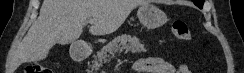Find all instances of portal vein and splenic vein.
I'll return each mask as SVG.
<instances>
[{"mask_svg":"<svg viewBox=\"0 0 244 73\" xmlns=\"http://www.w3.org/2000/svg\"><path fill=\"white\" fill-rule=\"evenodd\" d=\"M95 22H96L95 19H90V20H88V23H90V24H94Z\"/></svg>","mask_w":244,"mask_h":73,"instance_id":"portal-vein-and-splenic-vein-1","label":"portal vein and splenic vein"}]
</instances>
